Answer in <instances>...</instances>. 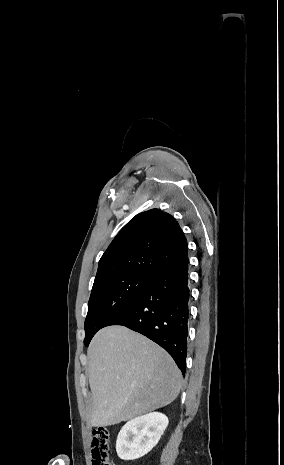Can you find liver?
<instances>
[{
  "label": "liver",
  "mask_w": 284,
  "mask_h": 465,
  "mask_svg": "<svg viewBox=\"0 0 284 465\" xmlns=\"http://www.w3.org/2000/svg\"><path fill=\"white\" fill-rule=\"evenodd\" d=\"M91 427L129 421L177 399L182 375L170 355L125 327H105L87 351Z\"/></svg>",
  "instance_id": "6515ba94"
}]
</instances>
